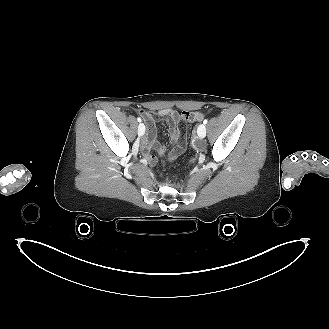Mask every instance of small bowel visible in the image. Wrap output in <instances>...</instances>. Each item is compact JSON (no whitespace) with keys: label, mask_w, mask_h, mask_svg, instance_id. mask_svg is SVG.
<instances>
[{"label":"small bowel","mask_w":329,"mask_h":329,"mask_svg":"<svg viewBox=\"0 0 329 329\" xmlns=\"http://www.w3.org/2000/svg\"><path fill=\"white\" fill-rule=\"evenodd\" d=\"M137 113L143 117L147 124V132L142 138V143L145 150V157L150 162L154 163L156 161V158L150 153L152 148L156 149L160 155L165 156V158L169 161L174 160L183 152L185 142L182 133V127H184L183 121H181L182 113H179L177 110L171 108L160 109L156 113L138 108ZM156 116L165 119L169 124L171 139L174 143V149L169 154H165V149L160 146L157 141V129L155 125Z\"/></svg>","instance_id":"small-bowel-1"}]
</instances>
